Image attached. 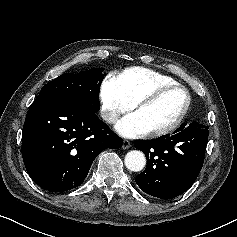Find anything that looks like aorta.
Instances as JSON below:
<instances>
[{
	"instance_id": "aorta-1",
	"label": "aorta",
	"mask_w": 237,
	"mask_h": 237,
	"mask_svg": "<svg viewBox=\"0 0 237 237\" xmlns=\"http://www.w3.org/2000/svg\"><path fill=\"white\" fill-rule=\"evenodd\" d=\"M125 166L133 172L141 171L146 165V157L139 150H132L125 156Z\"/></svg>"
}]
</instances>
